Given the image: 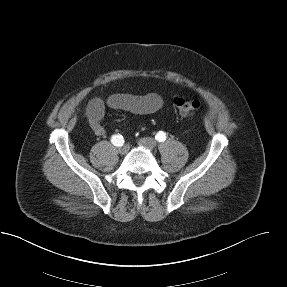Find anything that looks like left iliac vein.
Segmentation results:
<instances>
[{
	"instance_id": "left-iliac-vein-1",
	"label": "left iliac vein",
	"mask_w": 287,
	"mask_h": 287,
	"mask_svg": "<svg viewBox=\"0 0 287 287\" xmlns=\"http://www.w3.org/2000/svg\"><path fill=\"white\" fill-rule=\"evenodd\" d=\"M138 144L148 149H153L156 146V141L153 138L144 137L138 140Z\"/></svg>"
}]
</instances>
